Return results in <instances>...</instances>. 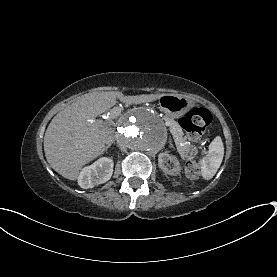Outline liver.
Segmentation results:
<instances>
[{
  "label": "liver",
  "instance_id": "obj_1",
  "mask_svg": "<svg viewBox=\"0 0 277 277\" xmlns=\"http://www.w3.org/2000/svg\"><path fill=\"white\" fill-rule=\"evenodd\" d=\"M163 95L124 96L117 91L84 95L50 122L44 136L47 162L64 178L76 180L82 167L103 154L115 139L114 122L96 120L98 115L113 107L116 99L130 105L152 102Z\"/></svg>",
  "mask_w": 277,
  "mask_h": 277
}]
</instances>
